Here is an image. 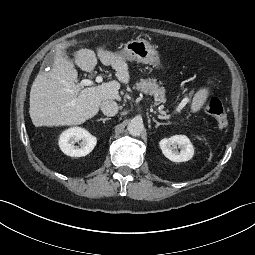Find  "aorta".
Segmentation results:
<instances>
[{"instance_id": "762f6f07", "label": "aorta", "mask_w": 255, "mask_h": 255, "mask_svg": "<svg viewBox=\"0 0 255 255\" xmlns=\"http://www.w3.org/2000/svg\"><path fill=\"white\" fill-rule=\"evenodd\" d=\"M127 130L130 135L138 136L144 131V124L140 119H132L127 126Z\"/></svg>"}]
</instances>
